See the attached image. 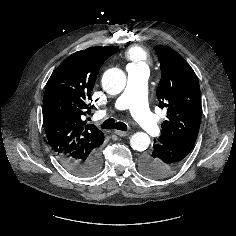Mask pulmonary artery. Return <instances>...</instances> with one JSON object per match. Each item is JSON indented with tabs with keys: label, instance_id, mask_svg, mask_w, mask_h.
<instances>
[{
	"label": "pulmonary artery",
	"instance_id": "1",
	"mask_svg": "<svg viewBox=\"0 0 236 236\" xmlns=\"http://www.w3.org/2000/svg\"><path fill=\"white\" fill-rule=\"evenodd\" d=\"M128 82L124 92L116 99L117 110H130L132 116L151 134L157 135L159 127L146 101L149 69L146 65L127 67ZM106 112L103 111V114Z\"/></svg>",
	"mask_w": 236,
	"mask_h": 236
}]
</instances>
